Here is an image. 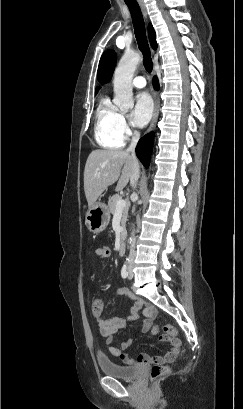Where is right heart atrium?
<instances>
[{
    "instance_id": "right-heart-atrium-1",
    "label": "right heart atrium",
    "mask_w": 243,
    "mask_h": 409,
    "mask_svg": "<svg viewBox=\"0 0 243 409\" xmlns=\"http://www.w3.org/2000/svg\"><path fill=\"white\" fill-rule=\"evenodd\" d=\"M116 129L121 137L126 138L133 133V129L129 125L126 116L123 113H119L116 121Z\"/></svg>"
}]
</instances>
